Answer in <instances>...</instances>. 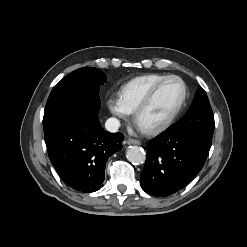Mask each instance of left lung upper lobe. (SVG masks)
Listing matches in <instances>:
<instances>
[{"instance_id": "obj_1", "label": "left lung upper lobe", "mask_w": 247, "mask_h": 247, "mask_svg": "<svg viewBox=\"0 0 247 247\" xmlns=\"http://www.w3.org/2000/svg\"><path fill=\"white\" fill-rule=\"evenodd\" d=\"M214 126L213 112L206 92L202 88L197 90L193 103L185 116L173 125L180 132L208 135H213Z\"/></svg>"}]
</instances>
